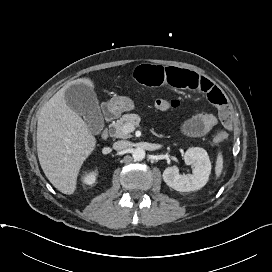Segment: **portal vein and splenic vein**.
<instances>
[{"label":"portal vein and splenic vein","instance_id":"obj_1","mask_svg":"<svg viewBox=\"0 0 272 272\" xmlns=\"http://www.w3.org/2000/svg\"><path fill=\"white\" fill-rule=\"evenodd\" d=\"M135 130V127L131 124H127L123 127V131L126 133H131Z\"/></svg>","mask_w":272,"mask_h":272}]
</instances>
